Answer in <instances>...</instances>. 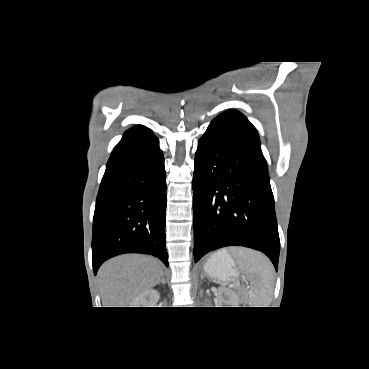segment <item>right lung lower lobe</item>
I'll return each mask as SVG.
<instances>
[{
    "instance_id": "right-lung-lower-lobe-1",
    "label": "right lung lower lobe",
    "mask_w": 369,
    "mask_h": 369,
    "mask_svg": "<svg viewBox=\"0 0 369 369\" xmlns=\"http://www.w3.org/2000/svg\"><path fill=\"white\" fill-rule=\"evenodd\" d=\"M166 172L157 137L145 129L124 135L106 166L93 221L92 262L96 274L122 253L151 254L168 266Z\"/></svg>"
}]
</instances>
